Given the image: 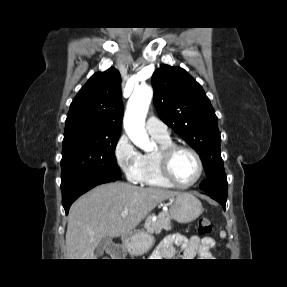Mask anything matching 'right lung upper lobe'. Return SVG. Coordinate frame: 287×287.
<instances>
[{
    "label": "right lung upper lobe",
    "instance_id": "cb5924a9",
    "mask_svg": "<svg viewBox=\"0 0 287 287\" xmlns=\"http://www.w3.org/2000/svg\"><path fill=\"white\" fill-rule=\"evenodd\" d=\"M120 85V74L113 67L91 76L70 105L65 131L88 126L98 132H121L124 109Z\"/></svg>",
    "mask_w": 287,
    "mask_h": 287
}]
</instances>
